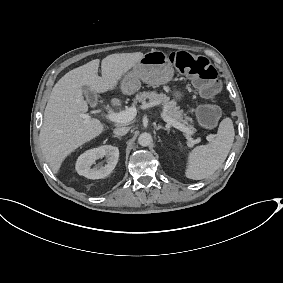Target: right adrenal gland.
I'll return each mask as SVG.
<instances>
[{"mask_svg":"<svg viewBox=\"0 0 283 283\" xmlns=\"http://www.w3.org/2000/svg\"><path fill=\"white\" fill-rule=\"evenodd\" d=\"M113 138H118V139H122V137H119L118 135H112Z\"/></svg>","mask_w":283,"mask_h":283,"instance_id":"2a0ac1e0","label":"right adrenal gland"}]
</instances>
